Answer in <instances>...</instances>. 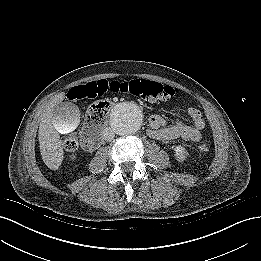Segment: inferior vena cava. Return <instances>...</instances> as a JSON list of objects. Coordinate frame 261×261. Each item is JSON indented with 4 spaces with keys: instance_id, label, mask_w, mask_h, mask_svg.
<instances>
[{
    "instance_id": "obj_1",
    "label": "inferior vena cava",
    "mask_w": 261,
    "mask_h": 261,
    "mask_svg": "<svg viewBox=\"0 0 261 261\" xmlns=\"http://www.w3.org/2000/svg\"><path fill=\"white\" fill-rule=\"evenodd\" d=\"M103 139L106 141H111L115 137L114 131L110 127H106L102 132Z\"/></svg>"
}]
</instances>
